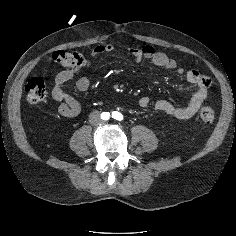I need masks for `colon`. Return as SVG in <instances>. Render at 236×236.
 <instances>
[{"label": "colon", "mask_w": 236, "mask_h": 236, "mask_svg": "<svg viewBox=\"0 0 236 236\" xmlns=\"http://www.w3.org/2000/svg\"><path fill=\"white\" fill-rule=\"evenodd\" d=\"M53 59L67 69L78 70L88 66V60L84 55L76 51H57L53 54ZM27 100L30 103H41L47 97V89L42 78L33 77L25 85ZM200 118L206 124H211L215 120V111L204 106L200 110Z\"/></svg>", "instance_id": "5ec220e1"}]
</instances>
